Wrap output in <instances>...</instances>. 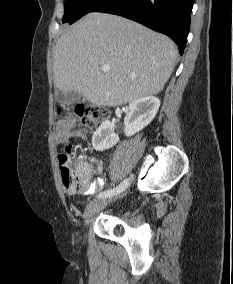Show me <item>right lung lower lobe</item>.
<instances>
[{
	"mask_svg": "<svg viewBox=\"0 0 233 284\" xmlns=\"http://www.w3.org/2000/svg\"><path fill=\"white\" fill-rule=\"evenodd\" d=\"M194 0H108L94 12L120 15L174 40L181 55L186 46Z\"/></svg>",
	"mask_w": 233,
	"mask_h": 284,
	"instance_id": "right-lung-lower-lobe-1",
	"label": "right lung lower lobe"
}]
</instances>
